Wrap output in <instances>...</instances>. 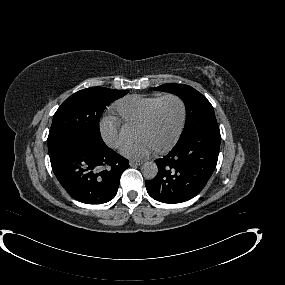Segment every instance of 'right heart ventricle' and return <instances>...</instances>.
<instances>
[{
    "instance_id": "1",
    "label": "right heart ventricle",
    "mask_w": 285,
    "mask_h": 285,
    "mask_svg": "<svg viewBox=\"0 0 285 285\" xmlns=\"http://www.w3.org/2000/svg\"><path fill=\"white\" fill-rule=\"evenodd\" d=\"M162 96L133 95L118 104V111L128 125L139 126L151 114Z\"/></svg>"
}]
</instances>
